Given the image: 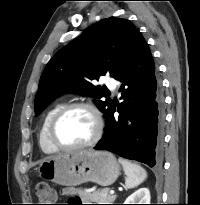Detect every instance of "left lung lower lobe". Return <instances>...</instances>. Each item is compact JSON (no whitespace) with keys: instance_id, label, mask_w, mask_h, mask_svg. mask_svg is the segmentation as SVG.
<instances>
[{"instance_id":"left-lung-lower-lobe-1","label":"left lung lower lobe","mask_w":200,"mask_h":205,"mask_svg":"<svg viewBox=\"0 0 200 205\" xmlns=\"http://www.w3.org/2000/svg\"><path fill=\"white\" fill-rule=\"evenodd\" d=\"M123 102L112 103L104 135L94 147L121 157L159 166L163 152L164 98L155 64L143 36L137 32L115 70ZM119 113L114 117L115 112Z\"/></svg>"}]
</instances>
